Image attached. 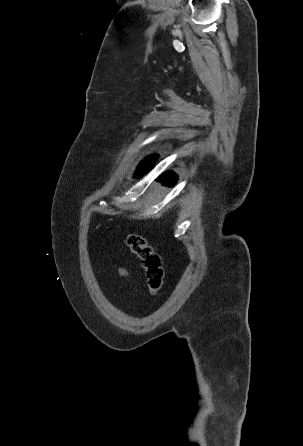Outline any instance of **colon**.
<instances>
[{
    "label": "colon",
    "instance_id": "1",
    "mask_svg": "<svg viewBox=\"0 0 303 446\" xmlns=\"http://www.w3.org/2000/svg\"><path fill=\"white\" fill-rule=\"evenodd\" d=\"M126 244L140 260L145 271L146 284L151 295L157 294L161 289L164 278V268L161 256L148 243L147 239L139 234H129Z\"/></svg>",
    "mask_w": 303,
    "mask_h": 446
}]
</instances>
